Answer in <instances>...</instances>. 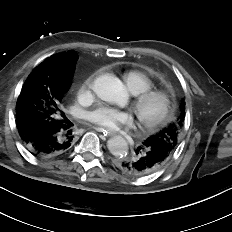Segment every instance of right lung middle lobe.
Listing matches in <instances>:
<instances>
[{"label": "right lung middle lobe", "mask_w": 232, "mask_h": 232, "mask_svg": "<svg viewBox=\"0 0 232 232\" xmlns=\"http://www.w3.org/2000/svg\"><path fill=\"white\" fill-rule=\"evenodd\" d=\"M71 84V69L55 70L43 66L31 73L24 83L16 105V117H31L29 127L53 128L67 118L62 100ZM36 106V109L32 108Z\"/></svg>", "instance_id": "right-lung-middle-lobe-1"}]
</instances>
